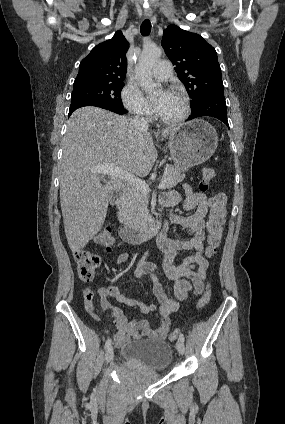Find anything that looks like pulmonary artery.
Here are the masks:
<instances>
[{
  "label": "pulmonary artery",
  "mask_w": 285,
  "mask_h": 424,
  "mask_svg": "<svg viewBox=\"0 0 285 424\" xmlns=\"http://www.w3.org/2000/svg\"><path fill=\"white\" fill-rule=\"evenodd\" d=\"M152 75L159 80H166L172 75L171 64L168 60H160L152 69Z\"/></svg>",
  "instance_id": "1"
}]
</instances>
